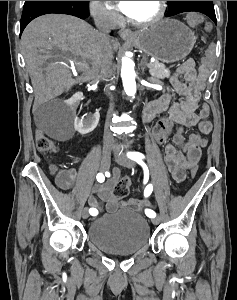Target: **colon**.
<instances>
[{"label":"colon","mask_w":237,"mask_h":300,"mask_svg":"<svg viewBox=\"0 0 237 300\" xmlns=\"http://www.w3.org/2000/svg\"><path fill=\"white\" fill-rule=\"evenodd\" d=\"M186 20L188 24L192 27L202 26L206 33H210L211 24L206 22L202 14L198 12H189L186 16ZM216 49L214 45H211L206 54L201 58V65L205 67H210L215 60ZM36 147L39 152L43 154H49L56 152L57 146L56 144L47 137L43 132H37L36 134ZM198 167L194 164L190 169V174L192 177H195L197 174ZM129 184L130 180L128 178H124L120 180L113 190V196L119 200L123 199L128 195L129 192Z\"/></svg>","instance_id":"colon-1"}]
</instances>
